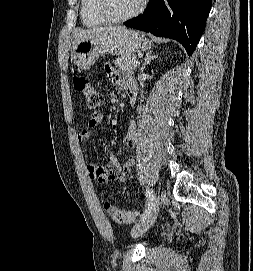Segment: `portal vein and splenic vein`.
I'll return each mask as SVG.
<instances>
[{
  "instance_id": "portal-vein-and-splenic-vein-1",
  "label": "portal vein and splenic vein",
  "mask_w": 253,
  "mask_h": 271,
  "mask_svg": "<svg viewBox=\"0 0 253 271\" xmlns=\"http://www.w3.org/2000/svg\"><path fill=\"white\" fill-rule=\"evenodd\" d=\"M133 65H134L135 67H137V66L139 65V62H138V61H135V62L133 63Z\"/></svg>"
}]
</instances>
